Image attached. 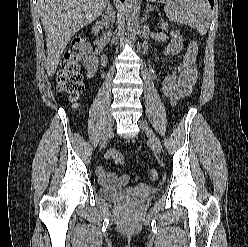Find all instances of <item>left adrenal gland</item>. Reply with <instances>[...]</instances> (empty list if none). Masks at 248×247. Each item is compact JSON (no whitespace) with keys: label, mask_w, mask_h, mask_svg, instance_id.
I'll use <instances>...</instances> for the list:
<instances>
[{"label":"left adrenal gland","mask_w":248,"mask_h":247,"mask_svg":"<svg viewBox=\"0 0 248 247\" xmlns=\"http://www.w3.org/2000/svg\"><path fill=\"white\" fill-rule=\"evenodd\" d=\"M153 9L154 7L152 5H147L146 15H148Z\"/></svg>","instance_id":"obj_1"}]
</instances>
